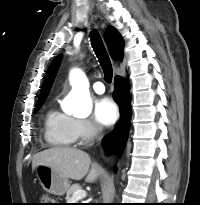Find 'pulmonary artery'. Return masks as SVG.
<instances>
[{
  "instance_id": "1",
  "label": "pulmonary artery",
  "mask_w": 200,
  "mask_h": 205,
  "mask_svg": "<svg viewBox=\"0 0 200 205\" xmlns=\"http://www.w3.org/2000/svg\"><path fill=\"white\" fill-rule=\"evenodd\" d=\"M93 89L97 94H103L105 92V86L100 81H97L93 84Z\"/></svg>"
}]
</instances>
